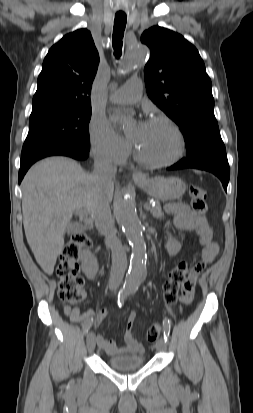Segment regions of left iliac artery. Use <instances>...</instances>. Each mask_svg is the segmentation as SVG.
Masks as SVG:
<instances>
[{
    "instance_id": "1",
    "label": "left iliac artery",
    "mask_w": 253,
    "mask_h": 413,
    "mask_svg": "<svg viewBox=\"0 0 253 413\" xmlns=\"http://www.w3.org/2000/svg\"><path fill=\"white\" fill-rule=\"evenodd\" d=\"M132 293L134 292L132 291L131 294ZM163 325H164V331H163L164 340L165 342H168L169 336H170V327H171L169 319L165 318L163 321Z\"/></svg>"
}]
</instances>
